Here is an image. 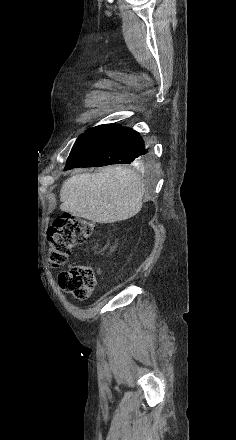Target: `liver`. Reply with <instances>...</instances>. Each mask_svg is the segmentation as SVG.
<instances>
[{"instance_id": "liver-1", "label": "liver", "mask_w": 236, "mask_h": 440, "mask_svg": "<svg viewBox=\"0 0 236 440\" xmlns=\"http://www.w3.org/2000/svg\"><path fill=\"white\" fill-rule=\"evenodd\" d=\"M144 186L132 169L107 167L99 173H83L64 181L60 209L97 223L124 221L142 208Z\"/></svg>"}]
</instances>
